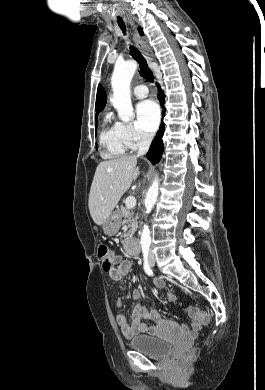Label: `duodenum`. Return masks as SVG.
Instances as JSON below:
<instances>
[{"mask_svg":"<svg viewBox=\"0 0 265 390\" xmlns=\"http://www.w3.org/2000/svg\"><path fill=\"white\" fill-rule=\"evenodd\" d=\"M127 251L131 255H139L141 252V246L136 239H131L127 242Z\"/></svg>","mask_w":265,"mask_h":390,"instance_id":"1","label":"duodenum"}]
</instances>
